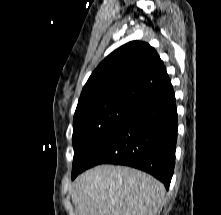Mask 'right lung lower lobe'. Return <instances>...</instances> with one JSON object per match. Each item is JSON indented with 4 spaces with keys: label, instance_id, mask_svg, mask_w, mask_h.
<instances>
[{
    "label": "right lung lower lobe",
    "instance_id": "right-lung-lower-lobe-1",
    "mask_svg": "<svg viewBox=\"0 0 221 215\" xmlns=\"http://www.w3.org/2000/svg\"><path fill=\"white\" fill-rule=\"evenodd\" d=\"M176 139V99L170 85L135 104L82 171L103 163L126 165L153 175L168 189L175 166Z\"/></svg>",
    "mask_w": 221,
    "mask_h": 215
}]
</instances>
